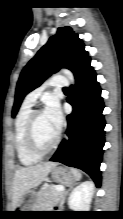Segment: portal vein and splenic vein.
<instances>
[{
  "instance_id": "18ae733b",
  "label": "portal vein and splenic vein",
  "mask_w": 123,
  "mask_h": 219,
  "mask_svg": "<svg viewBox=\"0 0 123 219\" xmlns=\"http://www.w3.org/2000/svg\"><path fill=\"white\" fill-rule=\"evenodd\" d=\"M55 190H57V191H64L65 190V187L64 186H56L55 187Z\"/></svg>"
}]
</instances>
